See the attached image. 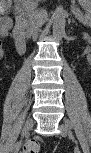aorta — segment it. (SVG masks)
Masks as SVG:
<instances>
[{"instance_id": "aorta-1", "label": "aorta", "mask_w": 91, "mask_h": 153, "mask_svg": "<svg viewBox=\"0 0 91 153\" xmlns=\"http://www.w3.org/2000/svg\"><path fill=\"white\" fill-rule=\"evenodd\" d=\"M65 24L62 9H57L53 18V36L57 41H61L65 34Z\"/></svg>"}]
</instances>
